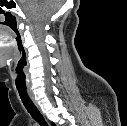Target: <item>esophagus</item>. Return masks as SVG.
I'll list each match as a JSON object with an SVG mask.
<instances>
[{
	"label": "esophagus",
	"mask_w": 127,
	"mask_h": 126,
	"mask_svg": "<svg viewBox=\"0 0 127 126\" xmlns=\"http://www.w3.org/2000/svg\"><path fill=\"white\" fill-rule=\"evenodd\" d=\"M29 97L31 98V100L33 101V103L36 105V101L33 95V92L31 90L28 91ZM37 106V105H36Z\"/></svg>",
	"instance_id": "1"
}]
</instances>
